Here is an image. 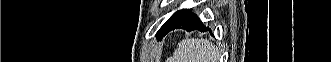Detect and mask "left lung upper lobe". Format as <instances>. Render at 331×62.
Listing matches in <instances>:
<instances>
[{"mask_svg":"<svg viewBox=\"0 0 331 62\" xmlns=\"http://www.w3.org/2000/svg\"><path fill=\"white\" fill-rule=\"evenodd\" d=\"M168 22V21H167ZM166 22V23H167ZM166 23L160 28V30L158 31V33H157V37L158 38H161L162 36H163V32H164V27H165V25H166Z\"/></svg>","mask_w":331,"mask_h":62,"instance_id":"5c2ea615","label":"left lung upper lobe"}]
</instances>
